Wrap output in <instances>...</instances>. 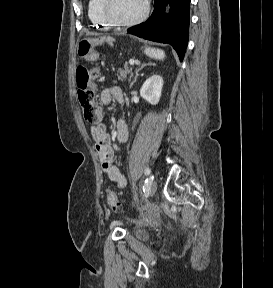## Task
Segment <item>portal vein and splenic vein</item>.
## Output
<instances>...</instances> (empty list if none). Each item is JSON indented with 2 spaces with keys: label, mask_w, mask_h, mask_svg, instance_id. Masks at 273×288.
I'll list each match as a JSON object with an SVG mask.
<instances>
[{
  "label": "portal vein and splenic vein",
  "mask_w": 273,
  "mask_h": 288,
  "mask_svg": "<svg viewBox=\"0 0 273 288\" xmlns=\"http://www.w3.org/2000/svg\"><path fill=\"white\" fill-rule=\"evenodd\" d=\"M129 63H130V65H134L135 61L134 60H130Z\"/></svg>",
  "instance_id": "18ae733b"
}]
</instances>
